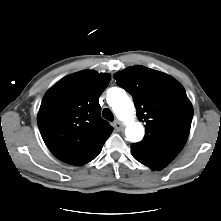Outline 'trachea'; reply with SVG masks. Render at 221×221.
Here are the masks:
<instances>
[{"instance_id": "obj_1", "label": "trachea", "mask_w": 221, "mask_h": 221, "mask_svg": "<svg viewBox=\"0 0 221 221\" xmlns=\"http://www.w3.org/2000/svg\"><path fill=\"white\" fill-rule=\"evenodd\" d=\"M102 116H103V118H105L108 121L112 122L114 120V115L109 108H105L103 110Z\"/></svg>"}]
</instances>
